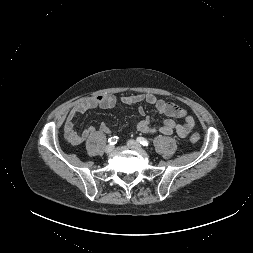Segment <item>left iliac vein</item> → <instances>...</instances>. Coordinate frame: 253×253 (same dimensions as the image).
Listing matches in <instances>:
<instances>
[{"instance_id":"4c4485c4","label":"left iliac vein","mask_w":253,"mask_h":253,"mask_svg":"<svg viewBox=\"0 0 253 253\" xmlns=\"http://www.w3.org/2000/svg\"><path fill=\"white\" fill-rule=\"evenodd\" d=\"M127 146L130 148L137 149V150H140L142 148L141 145L135 140H128Z\"/></svg>"}]
</instances>
